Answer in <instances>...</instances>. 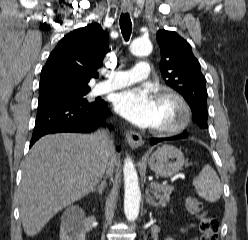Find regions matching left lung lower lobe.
Returning <instances> with one entry per match:
<instances>
[{
  "mask_svg": "<svg viewBox=\"0 0 248 240\" xmlns=\"http://www.w3.org/2000/svg\"><path fill=\"white\" fill-rule=\"evenodd\" d=\"M182 138H186V135L181 134V135H177V136H173L169 138H151V145H154L163 140H176V139H182Z\"/></svg>",
  "mask_w": 248,
  "mask_h": 240,
  "instance_id": "1",
  "label": "left lung lower lobe"
}]
</instances>
